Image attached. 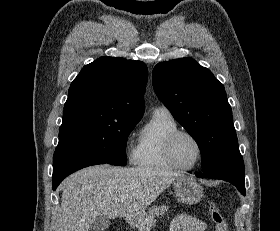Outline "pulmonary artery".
<instances>
[{
    "instance_id": "1",
    "label": "pulmonary artery",
    "mask_w": 280,
    "mask_h": 231,
    "mask_svg": "<svg viewBox=\"0 0 280 231\" xmlns=\"http://www.w3.org/2000/svg\"><path fill=\"white\" fill-rule=\"evenodd\" d=\"M156 110L167 111V112H168V110H167L165 107H159V108H157Z\"/></svg>"
}]
</instances>
